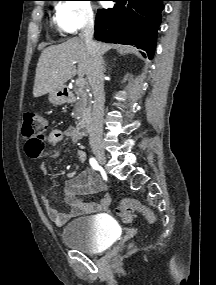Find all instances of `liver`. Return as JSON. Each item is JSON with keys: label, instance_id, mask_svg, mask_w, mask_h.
I'll use <instances>...</instances> for the list:
<instances>
[{"label": "liver", "instance_id": "liver-1", "mask_svg": "<svg viewBox=\"0 0 216 285\" xmlns=\"http://www.w3.org/2000/svg\"><path fill=\"white\" fill-rule=\"evenodd\" d=\"M101 54L106 53L112 45L97 42ZM75 63L78 64L77 68ZM89 53L86 43L80 37L52 45L44 49L39 57L33 96L35 98L63 88L64 84L76 74L88 75Z\"/></svg>", "mask_w": 216, "mask_h": 285}]
</instances>
